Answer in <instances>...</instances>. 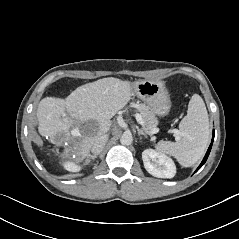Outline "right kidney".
Instances as JSON below:
<instances>
[{
  "label": "right kidney",
  "instance_id": "obj_1",
  "mask_svg": "<svg viewBox=\"0 0 239 239\" xmlns=\"http://www.w3.org/2000/svg\"><path fill=\"white\" fill-rule=\"evenodd\" d=\"M64 168L70 172H78L81 170V167L74 162H65Z\"/></svg>",
  "mask_w": 239,
  "mask_h": 239
}]
</instances>
